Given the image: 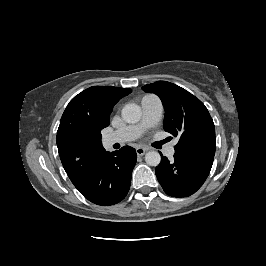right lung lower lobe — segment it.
Here are the masks:
<instances>
[{"instance_id":"right-lung-lower-lobe-1","label":"right lung lower lobe","mask_w":266,"mask_h":266,"mask_svg":"<svg viewBox=\"0 0 266 266\" xmlns=\"http://www.w3.org/2000/svg\"><path fill=\"white\" fill-rule=\"evenodd\" d=\"M136 159V151L129 146L106 152L90 180L79 191L97 205L109 206L120 202L129 191Z\"/></svg>"}]
</instances>
